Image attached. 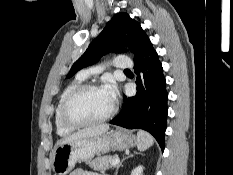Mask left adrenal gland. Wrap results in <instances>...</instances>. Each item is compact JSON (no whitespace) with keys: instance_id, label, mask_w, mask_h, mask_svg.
<instances>
[{"instance_id":"1","label":"left adrenal gland","mask_w":233,"mask_h":175,"mask_svg":"<svg viewBox=\"0 0 233 175\" xmlns=\"http://www.w3.org/2000/svg\"><path fill=\"white\" fill-rule=\"evenodd\" d=\"M133 156H134V154H130L128 157L124 158V159L117 165L114 175H117V174H118V170H119V168L122 166V163H123L126 159L131 158V157H133Z\"/></svg>"}]
</instances>
